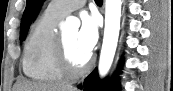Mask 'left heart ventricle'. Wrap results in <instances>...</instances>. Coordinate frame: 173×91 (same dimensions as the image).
Segmentation results:
<instances>
[{
  "mask_svg": "<svg viewBox=\"0 0 173 91\" xmlns=\"http://www.w3.org/2000/svg\"><path fill=\"white\" fill-rule=\"evenodd\" d=\"M77 34V30H68L63 33V37L74 64L79 67L87 61L88 56L79 50L77 46Z\"/></svg>",
  "mask_w": 173,
  "mask_h": 91,
  "instance_id": "1",
  "label": "left heart ventricle"
}]
</instances>
